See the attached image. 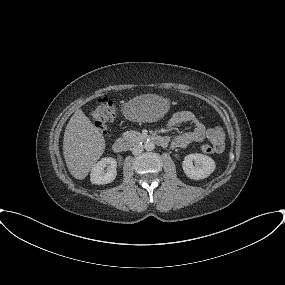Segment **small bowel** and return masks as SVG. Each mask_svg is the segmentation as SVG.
Instances as JSON below:
<instances>
[{"mask_svg":"<svg viewBox=\"0 0 285 285\" xmlns=\"http://www.w3.org/2000/svg\"><path fill=\"white\" fill-rule=\"evenodd\" d=\"M185 123H190L192 130L173 137L170 140L173 148H186L192 143L202 142L208 136L209 130L206 129L201 120L191 111L184 110L176 112L167 121L170 127H179Z\"/></svg>","mask_w":285,"mask_h":285,"instance_id":"1","label":"small bowel"}]
</instances>
